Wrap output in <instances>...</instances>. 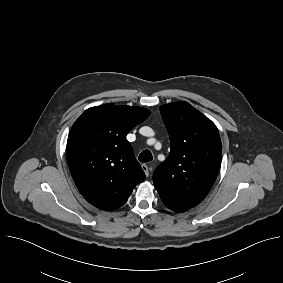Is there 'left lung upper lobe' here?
<instances>
[{
    "label": "left lung upper lobe",
    "mask_w": 283,
    "mask_h": 283,
    "mask_svg": "<svg viewBox=\"0 0 283 283\" xmlns=\"http://www.w3.org/2000/svg\"><path fill=\"white\" fill-rule=\"evenodd\" d=\"M171 151L153 174L154 186L171 210L186 211L211 189L220 167L222 144L215 124L187 102L160 107Z\"/></svg>",
    "instance_id": "5c2ea615"
}]
</instances>
